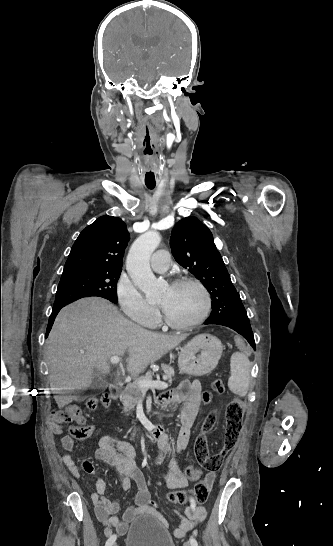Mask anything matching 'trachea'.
I'll return each mask as SVG.
<instances>
[{
  "mask_svg": "<svg viewBox=\"0 0 333 546\" xmlns=\"http://www.w3.org/2000/svg\"><path fill=\"white\" fill-rule=\"evenodd\" d=\"M148 175H151L152 177H154V173H153V172L148 173ZM146 186H147L149 189H154L155 184L146 183Z\"/></svg>",
  "mask_w": 333,
  "mask_h": 546,
  "instance_id": "trachea-1",
  "label": "trachea"
}]
</instances>
